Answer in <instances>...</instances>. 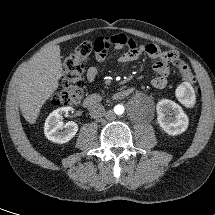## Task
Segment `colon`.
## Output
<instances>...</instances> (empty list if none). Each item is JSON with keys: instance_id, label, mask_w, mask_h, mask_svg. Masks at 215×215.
<instances>
[{"instance_id": "obj_1", "label": "colon", "mask_w": 215, "mask_h": 215, "mask_svg": "<svg viewBox=\"0 0 215 215\" xmlns=\"http://www.w3.org/2000/svg\"><path fill=\"white\" fill-rule=\"evenodd\" d=\"M93 52H95L94 42L85 41L63 60V89L53 95L52 104L66 106L76 104L81 100L84 88L83 64ZM173 64L179 68L186 81L194 82V75L184 61L178 57ZM197 93L199 92L197 91Z\"/></svg>"}]
</instances>
